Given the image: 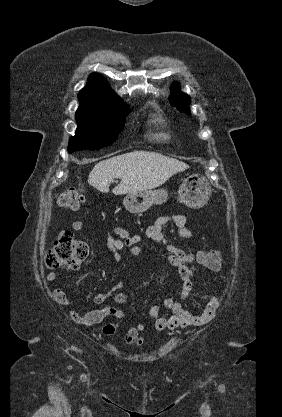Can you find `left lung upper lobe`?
Listing matches in <instances>:
<instances>
[{"mask_svg":"<svg viewBox=\"0 0 282 417\" xmlns=\"http://www.w3.org/2000/svg\"><path fill=\"white\" fill-rule=\"evenodd\" d=\"M170 103L175 106L180 112L189 114L190 98L179 89V84L175 83L171 87Z\"/></svg>","mask_w":282,"mask_h":417,"instance_id":"obj_1","label":"left lung upper lobe"}]
</instances>
